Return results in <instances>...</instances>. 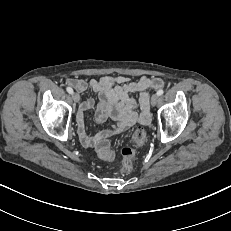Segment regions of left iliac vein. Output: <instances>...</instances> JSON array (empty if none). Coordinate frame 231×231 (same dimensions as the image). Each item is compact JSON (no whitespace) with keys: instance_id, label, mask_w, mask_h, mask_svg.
I'll use <instances>...</instances> for the list:
<instances>
[{"instance_id":"left-iliac-vein-1","label":"left iliac vein","mask_w":231,"mask_h":231,"mask_svg":"<svg viewBox=\"0 0 231 231\" xmlns=\"http://www.w3.org/2000/svg\"><path fill=\"white\" fill-rule=\"evenodd\" d=\"M159 100V96L157 94H153L151 97V105L155 106Z\"/></svg>"}]
</instances>
